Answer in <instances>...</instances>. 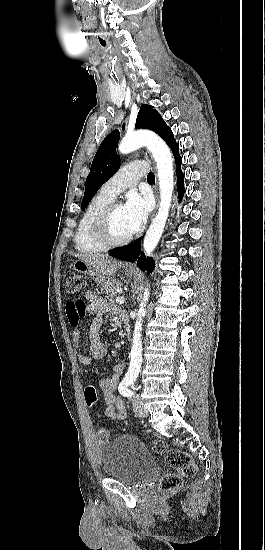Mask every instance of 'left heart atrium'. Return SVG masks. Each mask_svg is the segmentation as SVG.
Here are the masks:
<instances>
[{"mask_svg":"<svg viewBox=\"0 0 265 550\" xmlns=\"http://www.w3.org/2000/svg\"><path fill=\"white\" fill-rule=\"evenodd\" d=\"M150 206V199L147 196H141L136 192L128 195L124 211L131 233L138 231L145 224Z\"/></svg>","mask_w":265,"mask_h":550,"instance_id":"39dd6f15","label":"left heart atrium"}]
</instances>
